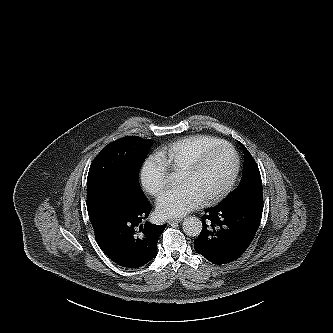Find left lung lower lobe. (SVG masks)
Returning <instances> with one entry per match:
<instances>
[{
	"mask_svg": "<svg viewBox=\"0 0 333 333\" xmlns=\"http://www.w3.org/2000/svg\"><path fill=\"white\" fill-rule=\"evenodd\" d=\"M263 212L262 190H254L205 210L194 248L213 264L238 259L250 246Z\"/></svg>",
	"mask_w": 333,
	"mask_h": 333,
	"instance_id": "obj_1",
	"label": "left lung lower lobe"
}]
</instances>
